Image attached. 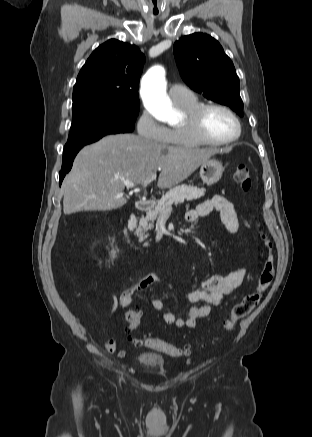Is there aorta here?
Returning a JSON list of instances; mask_svg holds the SVG:
<instances>
[{"mask_svg": "<svg viewBox=\"0 0 312 437\" xmlns=\"http://www.w3.org/2000/svg\"><path fill=\"white\" fill-rule=\"evenodd\" d=\"M147 110L161 122H170L174 111L166 94L165 71L161 66L150 68L144 75L140 90Z\"/></svg>", "mask_w": 312, "mask_h": 437, "instance_id": "762f6f07", "label": "aorta"}]
</instances>
